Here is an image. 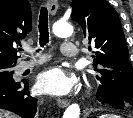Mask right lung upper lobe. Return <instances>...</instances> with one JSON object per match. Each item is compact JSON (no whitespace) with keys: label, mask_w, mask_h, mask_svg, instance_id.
<instances>
[{"label":"right lung upper lobe","mask_w":133,"mask_h":118,"mask_svg":"<svg viewBox=\"0 0 133 118\" xmlns=\"http://www.w3.org/2000/svg\"><path fill=\"white\" fill-rule=\"evenodd\" d=\"M31 29V7L27 0H0V65L16 64V47Z\"/></svg>","instance_id":"1"}]
</instances>
